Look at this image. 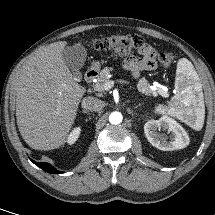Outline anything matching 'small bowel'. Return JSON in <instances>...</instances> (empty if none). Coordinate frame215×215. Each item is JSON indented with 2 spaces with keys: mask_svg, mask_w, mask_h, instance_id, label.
Segmentation results:
<instances>
[{
  "mask_svg": "<svg viewBox=\"0 0 215 215\" xmlns=\"http://www.w3.org/2000/svg\"><path fill=\"white\" fill-rule=\"evenodd\" d=\"M155 57V49L150 45H144L139 52V56L125 59L123 65L126 69L132 72L134 77H138L142 71L156 69L157 63Z\"/></svg>",
  "mask_w": 215,
  "mask_h": 215,
  "instance_id": "c3829d8e",
  "label": "small bowel"
}]
</instances>
